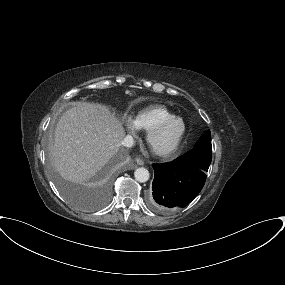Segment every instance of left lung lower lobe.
I'll return each instance as SVG.
<instances>
[{
    "mask_svg": "<svg viewBox=\"0 0 285 285\" xmlns=\"http://www.w3.org/2000/svg\"><path fill=\"white\" fill-rule=\"evenodd\" d=\"M155 177L148 196L150 206L160 213H170L187 206L205 184L206 172L173 160L153 165Z\"/></svg>",
    "mask_w": 285,
    "mask_h": 285,
    "instance_id": "left-lung-lower-lobe-1",
    "label": "left lung lower lobe"
}]
</instances>
